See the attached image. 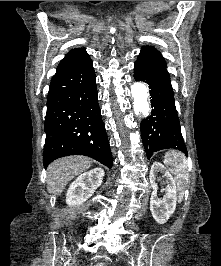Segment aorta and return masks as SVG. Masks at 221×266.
I'll return each instance as SVG.
<instances>
[{
	"label": "aorta",
	"mask_w": 221,
	"mask_h": 266,
	"mask_svg": "<svg viewBox=\"0 0 221 266\" xmlns=\"http://www.w3.org/2000/svg\"><path fill=\"white\" fill-rule=\"evenodd\" d=\"M131 94L134 100L133 109L137 115L147 117L150 113V105L148 102V88L145 83L136 82L131 86Z\"/></svg>",
	"instance_id": "aorta-1"
}]
</instances>
